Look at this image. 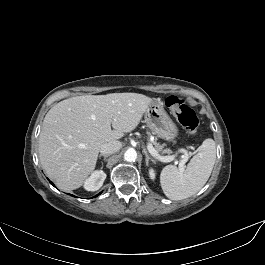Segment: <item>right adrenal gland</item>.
<instances>
[{
    "mask_svg": "<svg viewBox=\"0 0 265 265\" xmlns=\"http://www.w3.org/2000/svg\"><path fill=\"white\" fill-rule=\"evenodd\" d=\"M102 156L104 157V161H105L106 158L108 157V155H100V156H99V159H101Z\"/></svg>",
    "mask_w": 265,
    "mask_h": 265,
    "instance_id": "right-adrenal-gland-1",
    "label": "right adrenal gland"
}]
</instances>
